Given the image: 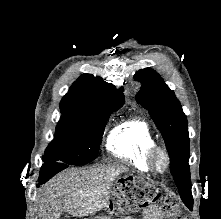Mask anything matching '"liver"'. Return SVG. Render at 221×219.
I'll list each match as a JSON object with an SVG mask.
<instances>
[{
    "label": "liver",
    "instance_id": "6515ba94",
    "mask_svg": "<svg viewBox=\"0 0 221 219\" xmlns=\"http://www.w3.org/2000/svg\"><path fill=\"white\" fill-rule=\"evenodd\" d=\"M128 170L115 164L60 173L41 191L39 219H59L63 211L80 217L101 210L107 205L114 180Z\"/></svg>",
    "mask_w": 221,
    "mask_h": 219
}]
</instances>
